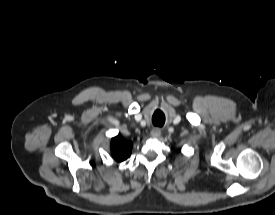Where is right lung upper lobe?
Listing matches in <instances>:
<instances>
[{
  "mask_svg": "<svg viewBox=\"0 0 275 215\" xmlns=\"http://www.w3.org/2000/svg\"><path fill=\"white\" fill-rule=\"evenodd\" d=\"M133 144L129 141H126L119 135L111 139V153L113 158L122 162L126 160L131 155V148Z\"/></svg>",
  "mask_w": 275,
  "mask_h": 215,
  "instance_id": "cb5924a9",
  "label": "right lung upper lobe"
}]
</instances>
